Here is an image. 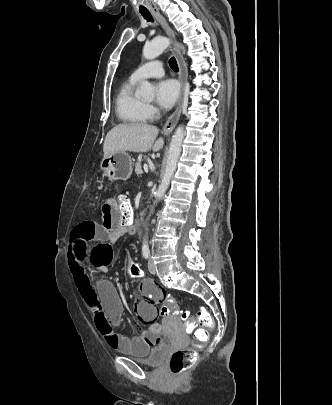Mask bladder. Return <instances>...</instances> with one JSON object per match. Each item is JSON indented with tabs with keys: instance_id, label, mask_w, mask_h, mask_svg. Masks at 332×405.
<instances>
[{
	"instance_id": "31cf9c89",
	"label": "bladder",
	"mask_w": 332,
	"mask_h": 405,
	"mask_svg": "<svg viewBox=\"0 0 332 405\" xmlns=\"http://www.w3.org/2000/svg\"><path fill=\"white\" fill-rule=\"evenodd\" d=\"M120 352L137 361L155 366L161 364L165 360L167 355V345L164 342H158L145 347L144 351L141 353L133 349L121 350Z\"/></svg>"
}]
</instances>
